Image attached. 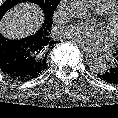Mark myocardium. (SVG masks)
I'll return each mask as SVG.
<instances>
[{"label":"myocardium","mask_w":118,"mask_h":118,"mask_svg":"<svg viewBox=\"0 0 118 118\" xmlns=\"http://www.w3.org/2000/svg\"><path fill=\"white\" fill-rule=\"evenodd\" d=\"M106 23L109 28H114L118 25V7L110 10L105 16ZM114 43L118 44V34L113 38Z\"/></svg>","instance_id":"myocardium-1"}]
</instances>
